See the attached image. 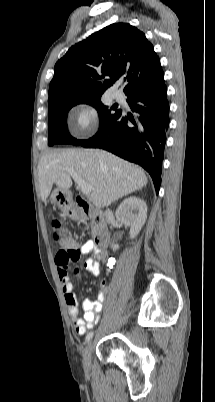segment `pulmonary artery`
Listing matches in <instances>:
<instances>
[{
	"instance_id": "pulmonary-artery-1",
	"label": "pulmonary artery",
	"mask_w": 215,
	"mask_h": 402,
	"mask_svg": "<svg viewBox=\"0 0 215 402\" xmlns=\"http://www.w3.org/2000/svg\"><path fill=\"white\" fill-rule=\"evenodd\" d=\"M113 97H114L116 100H118V101H121V100L123 99V95H122V93L119 92V91L113 92Z\"/></svg>"
}]
</instances>
